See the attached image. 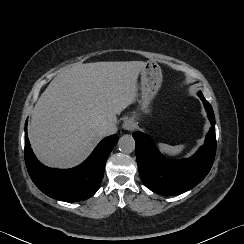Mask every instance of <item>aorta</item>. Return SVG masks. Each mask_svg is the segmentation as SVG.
<instances>
[{
	"mask_svg": "<svg viewBox=\"0 0 244 244\" xmlns=\"http://www.w3.org/2000/svg\"><path fill=\"white\" fill-rule=\"evenodd\" d=\"M118 148L124 154H130L135 150V140L131 135H123L118 141Z\"/></svg>",
	"mask_w": 244,
	"mask_h": 244,
	"instance_id": "1",
	"label": "aorta"
}]
</instances>
